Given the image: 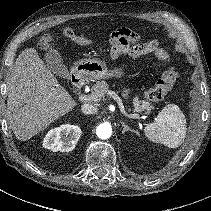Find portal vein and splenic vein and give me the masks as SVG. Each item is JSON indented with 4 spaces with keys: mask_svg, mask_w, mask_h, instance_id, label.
Segmentation results:
<instances>
[{
    "mask_svg": "<svg viewBox=\"0 0 211 211\" xmlns=\"http://www.w3.org/2000/svg\"><path fill=\"white\" fill-rule=\"evenodd\" d=\"M108 94L114 99L116 100V102L118 103L119 105V109L121 111V113L125 116H127L128 118L130 119H138L139 118V115L138 114H128L126 111H125V108H124V105L120 99V97L118 95L115 94L114 91H109ZM95 99L94 96H87V95H80L79 96V100L80 101H84V102H87V101H93Z\"/></svg>",
    "mask_w": 211,
    "mask_h": 211,
    "instance_id": "obj_1",
    "label": "portal vein and splenic vein"
}]
</instances>
